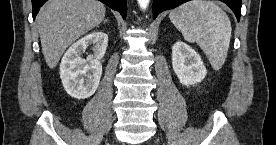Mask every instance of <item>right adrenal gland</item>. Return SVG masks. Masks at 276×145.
I'll return each mask as SVG.
<instances>
[{"instance_id": "2a0ac1e0", "label": "right adrenal gland", "mask_w": 276, "mask_h": 145, "mask_svg": "<svg viewBox=\"0 0 276 145\" xmlns=\"http://www.w3.org/2000/svg\"><path fill=\"white\" fill-rule=\"evenodd\" d=\"M107 22H108V20L106 19V20L104 21V24L107 23Z\"/></svg>"}]
</instances>
